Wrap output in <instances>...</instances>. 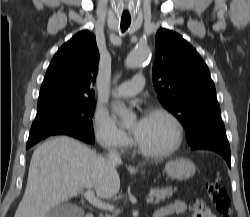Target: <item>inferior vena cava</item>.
Instances as JSON below:
<instances>
[{"mask_svg": "<svg viewBox=\"0 0 250 217\" xmlns=\"http://www.w3.org/2000/svg\"><path fill=\"white\" fill-rule=\"evenodd\" d=\"M107 159L113 165H118L121 163V157L115 150H110L108 152Z\"/></svg>", "mask_w": 250, "mask_h": 217, "instance_id": "inferior-vena-cava-1", "label": "inferior vena cava"}]
</instances>
